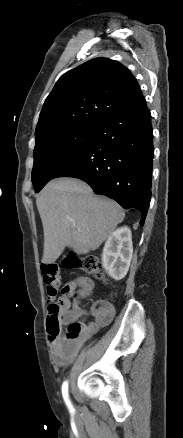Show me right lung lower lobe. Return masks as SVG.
Here are the masks:
<instances>
[{"mask_svg": "<svg viewBox=\"0 0 183 438\" xmlns=\"http://www.w3.org/2000/svg\"><path fill=\"white\" fill-rule=\"evenodd\" d=\"M151 115L145 99L100 122L87 146L55 176L85 181L96 194L123 208L141 211L151 199L153 166Z\"/></svg>", "mask_w": 183, "mask_h": 438, "instance_id": "98d812e1", "label": "right lung lower lobe"}]
</instances>
